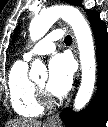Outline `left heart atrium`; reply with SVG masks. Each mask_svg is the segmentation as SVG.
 I'll list each match as a JSON object with an SVG mask.
<instances>
[{"label": "left heart atrium", "instance_id": "left-heart-atrium-1", "mask_svg": "<svg viewBox=\"0 0 108 127\" xmlns=\"http://www.w3.org/2000/svg\"><path fill=\"white\" fill-rule=\"evenodd\" d=\"M74 65L70 57L59 54L49 63V77L46 84L48 92L55 96L65 94L71 87Z\"/></svg>", "mask_w": 108, "mask_h": 127}]
</instances>
